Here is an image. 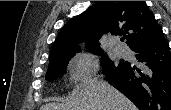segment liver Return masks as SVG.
<instances>
[{
	"instance_id": "liver-1",
	"label": "liver",
	"mask_w": 171,
	"mask_h": 110,
	"mask_svg": "<svg viewBox=\"0 0 171 110\" xmlns=\"http://www.w3.org/2000/svg\"><path fill=\"white\" fill-rule=\"evenodd\" d=\"M40 110H137L134 104L105 81L90 79L73 91L65 103H48Z\"/></svg>"
}]
</instances>
